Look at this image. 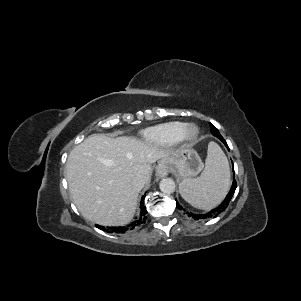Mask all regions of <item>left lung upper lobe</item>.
<instances>
[{"label": "left lung upper lobe", "mask_w": 301, "mask_h": 301, "mask_svg": "<svg viewBox=\"0 0 301 301\" xmlns=\"http://www.w3.org/2000/svg\"><path fill=\"white\" fill-rule=\"evenodd\" d=\"M211 132L218 131V129L210 123Z\"/></svg>", "instance_id": "obj_1"}]
</instances>
